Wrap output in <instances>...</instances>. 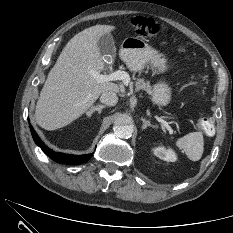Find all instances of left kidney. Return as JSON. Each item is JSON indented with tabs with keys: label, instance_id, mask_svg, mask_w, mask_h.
Instances as JSON below:
<instances>
[{
	"label": "left kidney",
	"instance_id": "obj_1",
	"mask_svg": "<svg viewBox=\"0 0 233 233\" xmlns=\"http://www.w3.org/2000/svg\"><path fill=\"white\" fill-rule=\"evenodd\" d=\"M153 153L156 157L164 161L175 162L177 160L176 153L172 149H166L164 146L153 148Z\"/></svg>",
	"mask_w": 233,
	"mask_h": 233
}]
</instances>
